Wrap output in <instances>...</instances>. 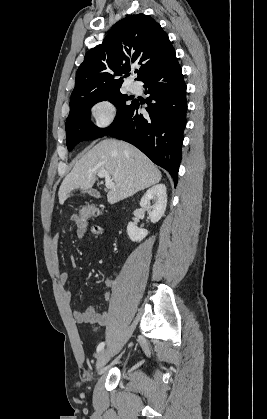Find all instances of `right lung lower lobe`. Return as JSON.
Returning <instances> with one entry per match:
<instances>
[{"label":"right lung lower lobe","mask_w":267,"mask_h":419,"mask_svg":"<svg viewBox=\"0 0 267 419\" xmlns=\"http://www.w3.org/2000/svg\"><path fill=\"white\" fill-rule=\"evenodd\" d=\"M144 83L148 115H142V103L135 99L128 113L107 133L129 142L172 176L175 186L182 157L186 126V84L178 61L148 74Z\"/></svg>","instance_id":"98d812e1"}]
</instances>
